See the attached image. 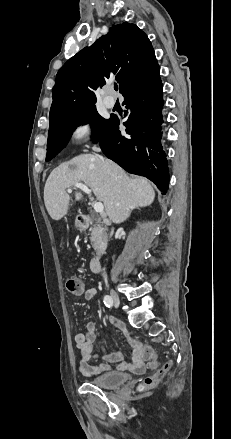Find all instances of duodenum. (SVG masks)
<instances>
[{
  "mask_svg": "<svg viewBox=\"0 0 231 439\" xmlns=\"http://www.w3.org/2000/svg\"><path fill=\"white\" fill-rule=\"evenodd\" d=\"M78 224L81 228H88L94 224V220L88 215L78 216ZM105 253V248L99 249L90 260V269L93 272L101 270V258Z\"/></svg>",
  "mask_w": 231,
  "mask_h": 439,
  "instance_id": "410a0bca",
  "label": "duodenum"
}]
</instances>
